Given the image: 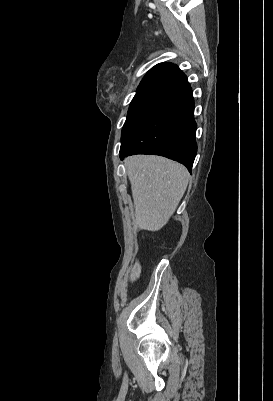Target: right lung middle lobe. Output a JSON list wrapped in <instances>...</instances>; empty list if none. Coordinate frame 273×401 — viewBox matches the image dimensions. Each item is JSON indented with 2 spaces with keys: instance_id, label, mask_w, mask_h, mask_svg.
Segmentation results:
<instances>
[{
  "instance_id": "dd1d6c3e",
  "label": "right lung middle lobe",
  "mask_w": 273,
  "mask_h": 401,
  "mask_svg": "<svg viewBox=\"0 0 273 401\" xmlns=\"http://www.w3.org/2000/svg\"><path fill=\"white\" fill-rule=\"evenodd\" d=\"M169 98L170 97L160 95L135 96L130 103L127 119L122 128L121 146L131 137L135 130L164 105Z\"/></svg>"
}]
</instances>
